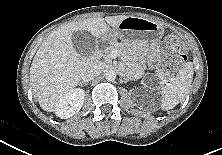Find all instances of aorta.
Returning <instances> with one entry per match:
<instances>
[{
    "label": "aorta",
    "instance_id": "1",
    "mask_svg": "<svg viewBox=\"0 0 222 155\" xmlns=\"http://www.w3.org/2000/svg\"><path fill=\"white\" fill-rule=\"evenodd\" d=\"M105 78L107 81H114L116 79V72L113 70H107L105 73Z\"/></svg>",
    "mask_w": 222,
    "mask_h": 155
}]
</instances>
